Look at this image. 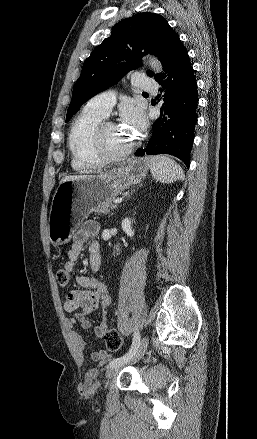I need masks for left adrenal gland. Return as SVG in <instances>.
Returning a JSON list of instances; mask_svg holds the SVG:
<instances>
[{"mask_svg":"<svg viewBox=\"0 0 257 439\" xmlns=\"http://www.w3.org/2000/svg\"><path fill=\"white\" fill-rule=\"evenodd\" d=\"M142 186V184L139 185V187ZM135 190L131 191V194L134 192Z\"/></svg>","mask_w":257,"mask_h":439,"instance_id":"1","label":"left adrenal gland"}]
</instances>
